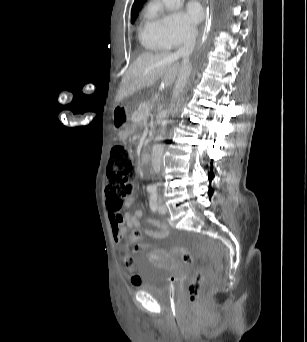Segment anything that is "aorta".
I'll return each mask as SVG.
<instances>
[{
    "instance_id": "1",
    "label": "aorta",
    "mask_w": 307,
    "mask_h": 342,
    "mask_svg": "<svg viewBox=\"0 0 307 342\" xmlns=\"http://www.w3.org/2000/svg\"><path fill=\"white\" fill-rule=\"evenodd\" d=\"M177 2L178 0H162V4L168 12H173V10H175Z\"/></svg>"
}]
</instances>
